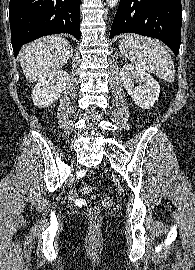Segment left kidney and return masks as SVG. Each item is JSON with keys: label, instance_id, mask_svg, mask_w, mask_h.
I'll return each instance as SVG.
<instances>
[{"label": "left kidney", "instance_id": "obj_1", "mask_svg": "<svg viewBox=\"0 0 195 270\" xmlns=\"http://www.w3.org/2000/svg\"><path fill=\"white\" fill-rule=\"evenodd\" d=\"M120 77L136 105L143 109L154 106L159 97L160 85L150 74L127 63L120 70Z\"/></svg>", "mask_w": 195, "mask_h": 270}]
</instances>
